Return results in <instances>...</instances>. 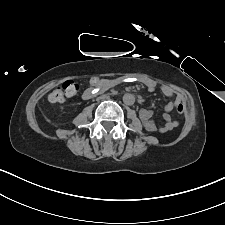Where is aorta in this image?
<instances>
[{
    "instance_id": "762f6f07",
    "label": "aorta",
    "mask_w": 225,
    "mask_h": 225,
    "mask_svg": "<svg viewBox=\"0 0 225 225\" xmlns=\"http://www.w3.org/2000/svg\"><path fill=\"white\" fill-rule=\"evenodd\" d=\"M123 102H124L126 105H132V104H134V102H135V97H134V95H132V94H125V95L123 96Z\"/></svg>"
}]
</instances>
